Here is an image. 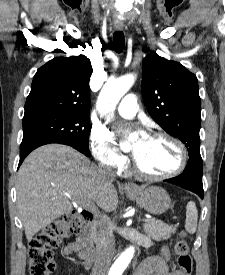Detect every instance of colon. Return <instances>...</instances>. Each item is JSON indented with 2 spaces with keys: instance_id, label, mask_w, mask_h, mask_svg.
Returning a JSON list of instances; mask_svg holds the SVG:
<instances>
[{
  "instance_id": "obj_1",
  "label": "colon",
  "mask_w": 225,
  "mask_h": 275,
  "mask_svg": "<svg viewBox=\"0 0 225 275\" xmlns=\"http://www.w3.org/2000/svg\"><path fill=\"white\" fill-rule=\"evenodd\" d=\"M92 219L87 210L73 211L42 229L29 247V274L50 275L55 266V249L63 239L79 232ZM186 234L182 232L175 244V254L182 275H192L193 261L189 254Z\"/></svg>"
}]
</instances>
